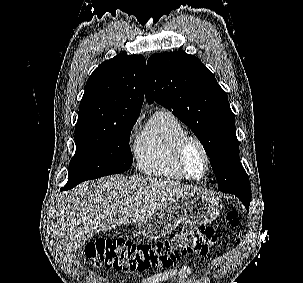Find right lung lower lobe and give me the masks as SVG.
<instances>
[{
	"instance_id": "right-lung-lower-lobe-1",
	"label": "right lung lower lobe",
	"mask_w": 303,
	"mask_h": 283,
	"mask_svg": "<svg viewBox=\"0 0 303 283\" xmlns=\"http://www.w3.org/2000/svg\"><path fill=\"white\" fill-rule=\"evenodd\" d=\"M63 189H66V190H67L68 188H67V187H65V188H63Z\"/></svg>"
}]
</instances>
